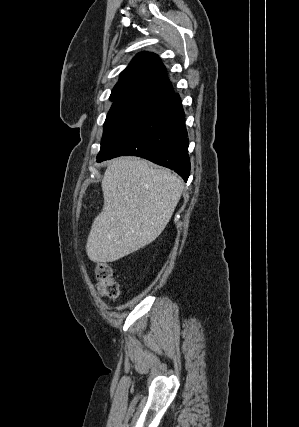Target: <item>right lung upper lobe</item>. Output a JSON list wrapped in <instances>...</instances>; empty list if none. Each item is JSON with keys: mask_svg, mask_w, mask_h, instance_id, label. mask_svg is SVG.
I'll use <instances>...</instances> for the list:
<instances>
[{"mask_svg": "<svg viewBox=\"0 0 299 427\" xmlns=\"http://www.w3.org/2000/svg\"><path fill=\"white\" fill-rule=\"evenodd\" d=\"M173 93L160 58L154 53L141 52L120 73L110 99L133 98L155 103Z\"/></svg>", "mask_w": 299, "mask_h": 427, "instance_id": "right-lung-upper-lobe-1", "label": "right lung upper lobe"}]
</instances>
